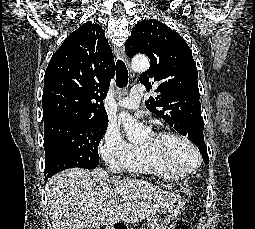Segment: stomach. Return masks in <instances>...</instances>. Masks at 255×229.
<instances>
[{
	"mask_svg": "<svg viewBox=\"0 0 255 229\" xmlns=\"http://www.w3.org/2000/svg\"><path fill=\"white\" fill-rule=\"evenodd\" d=\"M184 206L185 202L181 196H173L165 206L159 208L149 218L150 229H168L171 222L181 214Z\"/></svg>",
	"mask_w": 255,
	"mask_h": 229,
	"instance_id": "stomach-1",
	"label": "stomach"
}]
</instances>
